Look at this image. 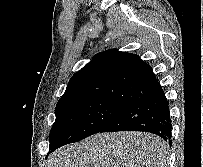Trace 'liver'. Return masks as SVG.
I'll list each match as a JSON object with an SVG mask.
<instances>
[{
  "label": "liver",
  "instance_id": "1",
  "mask_svg": "<svg viewBox=\"0 0 203 167\" xmlns=\"http://www.w3.org/2000/svg\"><path fill=\"white\" fill-rule=\"evenodd\" d=\"M168 146L144 132L98 133L52 153L47 167H168Z\"/></svg>",
  "mask_w": 203,
  "mask_h": 167
}]
</instances>
